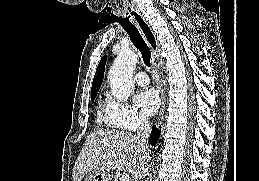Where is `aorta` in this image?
<instances>
[{
  "mask_svg": "<svg viewBox=\"0 0 259 181\" xmlns=\"http://www.w3.org/2000/svg\"><path fill=\"white\" fill-rule=\"evenodd\" d=\"M138 55L131 49H122L108 73L113 97L119 102H127L134 89L132 75Z\"/></svg>",
  "mask_w": 259,
  "mask_h": 181,
  "instance_id": "1",
  "label": "aorta"
}]
</instances>
